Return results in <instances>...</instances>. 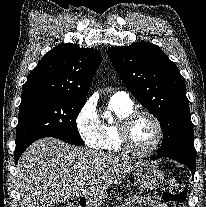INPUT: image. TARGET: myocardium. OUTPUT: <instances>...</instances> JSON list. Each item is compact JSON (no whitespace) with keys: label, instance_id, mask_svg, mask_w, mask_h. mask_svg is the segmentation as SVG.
<instances>
[{"label":"myocardium","instance_id":"myocardium-1","mask_svg":"<svg viewBox=\"0 0 206 207\" xmlns=\"http://www.w3.org/2000/svg\"><path fill=\"white\" fill-rule=\"evenodd\" d=\"M141 116H146L150 118L157 130V135L154 143L152 144L151 147L143 151L135 149L132 146L129 137V130L131 125L136 119H138ZM163 137H164V129L161 121L158 119V117L155 114H153L148 110H133L121 120L118 126V139L122 151L135 157H146L151 155L153 152H155L158 149V147L160 146L163 140Z\"/></svg>","mask_w":206,"mask_h":207}]
</instances>
